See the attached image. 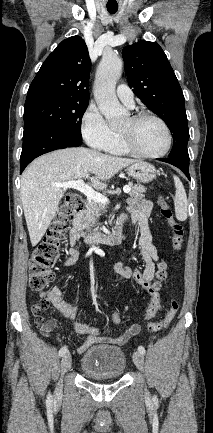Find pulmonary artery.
Instances as JSON below:
<instances>
[{
  "mask_svg": "<svg viewBox=\"0 0 213 433\" xmlns=\"http://www.w3.org/2000/svg\"><path fill=\"white\" fill-rule=\"evenodd\" d=\"M116 93L121 102H123L126 106L133 108L134 94L129 86L126 84H120L117 87Z\"/></svg>",
  "mask_w": 213,
  "mask_h": 433,
  "instance_id": "pulmonary-artery-1",
  "label": "pulmonary artery"
}]
</instances>
